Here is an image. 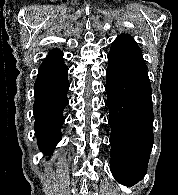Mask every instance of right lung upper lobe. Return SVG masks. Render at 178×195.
<instances>
[{
	"instance_id": "cb5924a9",
	"label": "right lung upper lobe",
	"mask_w": 178,
	"mask_h": 195,
	"mask_svg": "<svg viewBox=\"0 0 178 195\" xmlns=\"http://www.w3.org/2000/svg\"><path fill=\"white\" fill-rule=\"evenodd\" d=\"M62 56H63L62 52H60L57 49L53 50L50 53V55L44 60L42 65L50 64V63H56V62L62 61L63 60Z\"/></svg>"
}]
</instances>
